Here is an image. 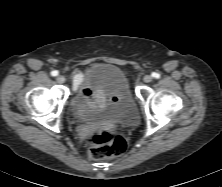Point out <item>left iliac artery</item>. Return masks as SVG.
Listing matches in <instances>:
<instances>
[{
    "label": "left iliac artery",
    "instance_id": "obj_1",
    "mask_svg": "<svg viewBox=\"0 0 222 187\" xmlns=\"http://www.w3.org/2000/svg\"><path fill=\"white\" fill-rule=\"evenodd\" d=\"M152 76L154 77V78H160V74H158V73H152Z\"/></svg>",
    "mask_w": 222,
    "mask_h": 187
}]
</instances>
